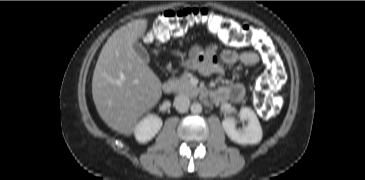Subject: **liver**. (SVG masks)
I'll use <instances>...</instances> for the list:
<instances>
[{"mask_svg":"<svg viewBox=\"0 0 365 180\" xmlns=\"http://www.w3.org/2000/svg\"><path fill=\"white\" fill-rule=\"evenodd\" d=\"M147 24L146 19H138L117 29L103 46L92 79L99 116L126 136L134 132L139 119L162 96L160 79L133 49Z\"/></svg>","mask_w":365,"mask_h":180,"instance_id":"6515ba94","label":"liver"}]
</instances>
